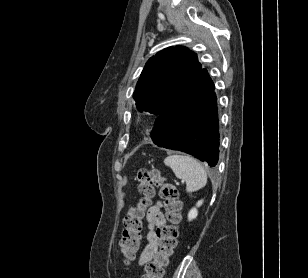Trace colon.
I'll return each mask as SVG.
<instances>
[{
  "label": "colon",
  "mask_w": 308,
  "mask_h": 278,
  "mask_svg": "<svg viewBox=\"0 0 308 278\" xmlns=\"http://www.w3.org/2000/svg\"><path fill=\"white\" fill-rule=\"evenodd\" d=\"M137 178L140 199L134 207L130 208L124 219V230L120 242L121 254L126 262L135 258L140 248L145 211L151 203L155 188H159L160 196L164 200L167 223L157 228L158 249L152 259L146 263L141 278H163L165 268L177 246L181 202L175 186L166 182L160 171L140 169Z\"/></svg>",
  "instance_id": "5ec220e1"
}]
</instances>
